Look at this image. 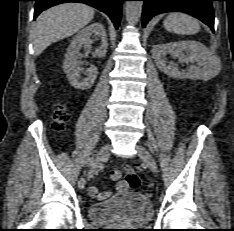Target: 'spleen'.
<instances>
[{
    "label": "spleen",
    "mask_w": 234,
    "mask_h": 231,
    "mask_svg": "<svg viewBox=\"0 0 234 231\" xmlns=\"http://www.w3.org/2000/svg\"><path fill=\"white\" fill-rule=\"evenodd\" d=\"M163 25L167 31L180 35H193L200 31V25L195 18L179 12L170 13Z\"/></svg>",
    "instance_id": "spleen-1"
}]
</instances>
